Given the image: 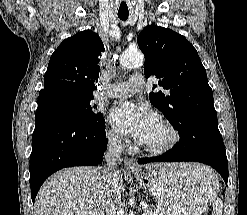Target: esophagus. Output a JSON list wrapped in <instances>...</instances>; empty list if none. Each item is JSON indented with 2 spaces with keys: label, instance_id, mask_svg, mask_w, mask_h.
Segmentation results:
<instances>
[{
  "label": "esophagus",
  "instance_id": "34e87169",
  "mask_svg": "<svg viewBox=\"0 0 247 215\" xmlns=\"http://www.w3.org/2000/svg\"><path fill=\"white\" fill-rule=\"evenodd\" d=\"M125 166L129 172H139L140 171L139 165L137 164L136 160L133 158L127 159L125 162Z\"/></svg>",
  "mask_w": 247,
  "mask_h": 215
}]
</instances>
